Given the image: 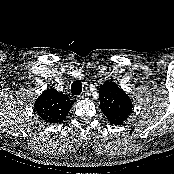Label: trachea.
Segmentation results:
<instances>
[{
    "instance_id": "3493384b",
    "label": "trachea",
    "mask_w": 174,
    "mask_h": 174,
    "mask_svg": "<svg viewBox=\"0 0 174 174\" xmlns=\"http://www.w3.org/2000/svg\"><path fill=\"white\" fill-rule=\"evenodd\" d=\"M82 92V83L79 80H75L71 86L72 95H80Z\"/></svg>"
}]
</instances>
